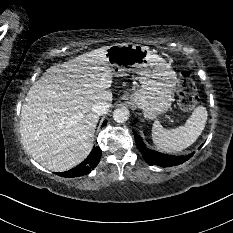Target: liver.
I'll use <instances>...</instances> for the list:
<instances>
[{
	"label": "liver",
	"instance_id": "1",
	"mask_svg": "<svg viewBox=\"0 0 233 233\" xmlns=\"http://www.w3.org/2000/svg\"><path fill=\"white\" fill-rule=\"evenodd\" d=\"M107 48L51 66L27 93L20 118L22 144L51 171L77 166L92 150L99 121L92 107L98 102L112 105Z\"/></svg>",
	"mask_w": 233,
	"mask_h": 233
}]
</instances>
